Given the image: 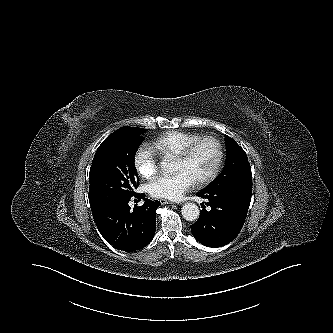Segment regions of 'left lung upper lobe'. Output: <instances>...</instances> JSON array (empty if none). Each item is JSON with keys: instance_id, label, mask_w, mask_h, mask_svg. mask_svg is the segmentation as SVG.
Segmentation results:
<instances>
[{"instance_id": "obj_1", "label": "left lung upper lobe", "mask_w": 333, "mask_h": 333, "mask_svg": "<svg viewBox=\"0 0 333 333\" xmlns=\"http://www.w3.org/2000/svg\"><path fill=\"white\" fill-rule=\"evenodd\" d=\"M225 143L227 149L225 168L208 187L222 186L233 195L251 199L252 174L247 155L236 141L227 135Z\"/></svg>"}]
</instances>
